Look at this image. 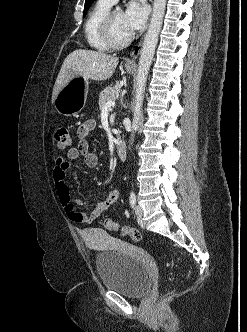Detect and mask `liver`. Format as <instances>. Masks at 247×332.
I'll list each match as a JSON object with an SVG mask.
<instances>
[{"label":"liver","instance_id":"obj_1","mask_svg":"<svg viewBox=\"0 0 247 332\" xmlns=\"http://www.w3.org/2000/svg\"><path fill=\"white\" fill-rule=\"evenodd\" d=\"M118 62L117 57L99 51L84 49L73 51L64 60L57 76L52 93V104L62 87L72 78L83 76L95 81L107 80L113 75Z\"/></svg>","mask_w":247,"mask_h":332}]
</instances>
